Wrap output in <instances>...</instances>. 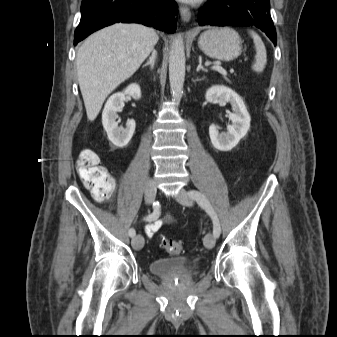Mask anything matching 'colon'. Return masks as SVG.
Segmentation results:
<instances>
[{"label": "colon", "mask_w": 337, "mask_h": 337, "mask_svg": "<svg viewBox=\"0 0 337 337\" xmlns=\"http://www.w3.org/2000/svg\"><path fill=\"white\" fill-rule=\"evenodd\" d=\"M77 170L94 199L104 201L112 195L115 188L114 181L100 164V157L96 151L83 149L79 154ZM161 243L163 248L171 254L181 252L182 246L179 241L163 239Z\"/></svg>", "instance_id": "colon-1"}]
</instances>
